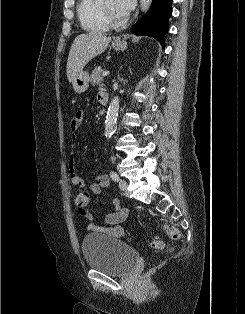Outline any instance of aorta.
<instances>
[{"mask_svg":"<svg viewBox=\"0 0 245 314\" xmlns=\"http://www.w3.org/2000/svg\"><path fill=\"white\" fill-rule=\"evenodd\" d=\"M152 0H140V7L143 12L148 11ZM119 110V97H114L109 105L106 121H105V136L106 138H111L115 131L116 120Z\"/></svg>","mask_w":245,"mask_h":314,"instance_id":"1","label":"aorta"}]
</instances>
